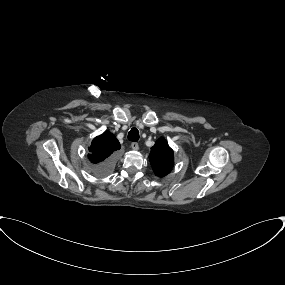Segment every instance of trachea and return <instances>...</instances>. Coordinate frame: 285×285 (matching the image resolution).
I'll list each match as a JSON object with an SVG mask.
<instances>
[{
	"mask_svg": "<svg viewBox=\"0 0 285 285\" xmlns=\"http://www.w3.org/2000/svg\"><path fill=\"white\" fill-rule=\"evenodd\" d=\"M128 139L130 141L136 142L139 139V131L137 128H132L128 133Z\"/></svg>",
	"mask_w": 285,
	"mask_h": 285,
	"instance_id": "obj_1",
	"label": "trachea"
}]
</instances>
